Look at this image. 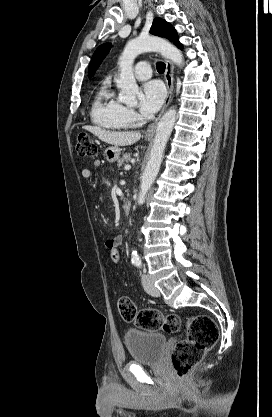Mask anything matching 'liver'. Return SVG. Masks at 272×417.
Returning a JSON list of instances; mask_svg holds the SVG:
<instances>
[{
  "label": "liver",
  "instance_id": "obj_1",
  "mask_svg": "<svg viewBox=\"0 0 272 417\" xmlns=\"http://www.w3.org/2000/svg\"><path fill=\"white\" fill-rule=\"evenodd\" d=\"M83 129L97 136L101 141L117 146H129L136 143L141 138L140 132H116L108 131L97 126L86 125Z\"/></svg>",
  "mask_w": 272,
  "mask_h": 417
}]
</instances>
